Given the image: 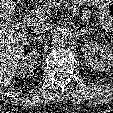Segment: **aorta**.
<instances>
[{"label":"aorta","mask_w":113,"mask_h":113,"mask_svg":"<svg viewBox=\"0 0 113 113\" xmlns=\"http://www.w3.org/2000/svg\"><path fill=\"white\" fill-rule=\"evenodd\" d=\"M70 39L71 33L66 28H57L52 34V41L58 46L67 45Z\"/></svg>","instance_id":"762f6f07"}]
</instances>
